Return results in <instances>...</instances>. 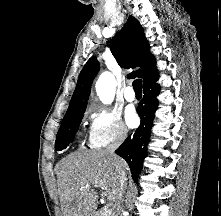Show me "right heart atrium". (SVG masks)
Segmentation results:
<instances>
[{
  "mask_svg": "<svg viewBox=\"0 0 221 216\" xmlns=\"http://www.w3.org/2000/svg\"><path fill=\"white\" fill-rule=\"evenodd\" d=\"M88 116V140L93 147L122 143L127 139L128 129L117 111L104 106H92Z\"/></svg>",
  "mask_w": 221,
  "mask_h": 216,
  "instance_id": "obj_1",
  "label": "right heart atrium"
}]
</instances>
